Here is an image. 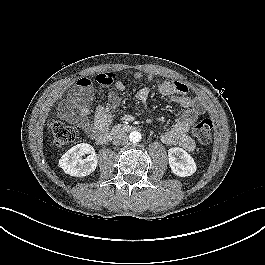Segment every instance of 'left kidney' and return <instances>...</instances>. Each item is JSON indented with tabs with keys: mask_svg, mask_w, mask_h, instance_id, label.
<instances>
[{
	"mask_svg": "<svg viewBox=\"0 0 265 265\" xmlns=\"http://www.w3.org/2000/svg\"><path fill=\"white\" fill-rule=\"evenodd\" d=\"M169 166L171 171L180 177L191 176L196 172L194 159L185 150L173 147L168 150Z\"/></svg>",
	"mask_w": 265,
	"mask_h": 265,
	"instance_id": "obj_1",
	"label": "left kidney"
}]
</instances>
